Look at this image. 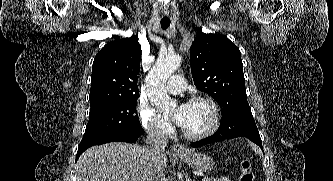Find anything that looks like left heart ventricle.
Instances as JSON below:
<instances>
[{
	"mask_svg": "<svg viewBox=\"0 0 333 181\" xmlns=\"http://www.w3.org/2000/svg\"><path fill=\"white\" fill-rule=\"evenodd\" d=\"M211 122V112L203 102L187 104V117L183 129L190 133L206 129Z\"/></svg>",
	"mask_w": 333,
	"mask_h": 181,
	"instance_id": "b2bd125f",
	"label": "left heart ventricle"
}]
</instances>
